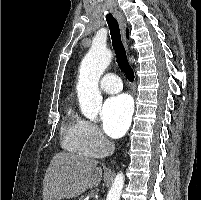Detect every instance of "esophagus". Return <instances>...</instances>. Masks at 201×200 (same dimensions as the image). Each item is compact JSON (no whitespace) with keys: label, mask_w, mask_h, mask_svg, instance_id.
Masks as SVG:
<instances>
[{"label":"esophagus","mask_w":201,"mask_h":200,"mask_svg":"<svg viewBox=\"0 0 201 200\" xmlns=\"http://www.w3.org/2000/svg\"><path fill=\"white\" fill-rule=\"evenodd\" d=\"M114 14H115V16L117 17V19H118V21L120 23V27H121V31H122V35H123L124 45H125L127 51H129L128 50V44H127L126 37H125V27H126V25H125L124 17L118 11H115Z\"/></svg>","instance_id":"1"}]
</instances>
